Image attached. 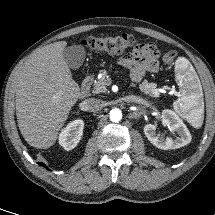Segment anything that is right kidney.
<instances>
[{
	"instance_id": "right-kidney-1",
	"label": "right kidney",
	"mask_w": 215,
	"mask_h": 215,
	"mask_svg": "<svg viewBox=\"0 0 215 215\" xmlns=\"http://www.w3.org/2000/svg\"><path fill=\"white\" fill-rule=\"evenodd\" d=\"M84 122L81 119L70 122L59 135V144L65 150H71L77 146L83 135Z\"/></svg>"
}]
</instances>
